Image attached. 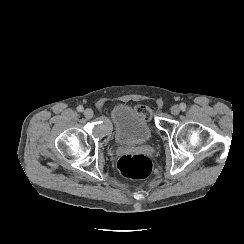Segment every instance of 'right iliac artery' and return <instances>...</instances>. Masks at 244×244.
<instances>
[{
    "label": "right iliac artery",
    "instance_id": "1",
    "mask_svg": "<svg viewBox=\"0 0 244 244\" xmlns=\"http://www.w3.org/2000/svg\"><path fill=\"white\" fill-rule=\"evenodd\" d=\"M83 110H84L83 106L79 105V106L77 107V111H78V112H83Z\"/></svg>",
    "mask_w": 244,
    "mask_h": 244
}]
</instances>
